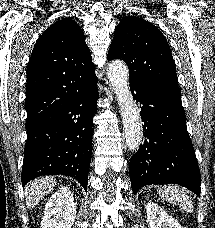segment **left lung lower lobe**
Returning a JSON list of instances; mask_svg holds the SVG:
<instances>
[{"label":"left lung lower lobe","mask_w":215,"mask_h":228,"mask_svg":"<svg viewBox=\"0 0 215 228\" xmlns=\"http://www.w3.org/2000/svg\"><path fill=\"white\" fill-rule=\"evenodd\" d=\"M145 137L129 164L133 193L146 185L178 184L200 196L201 176L187 132L179 87L130 82Z\"/></svg>","instance_id":"0a47b994"}]
</instances>
